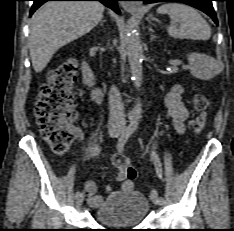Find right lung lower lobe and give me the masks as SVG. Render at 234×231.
Returning <instances> with one entry per match:
<instances>
[{"mask_svg":"<svg viewBox=\"0 0 234 231\" xmlns=\"http://www.w3.org/2000/svg\"><path fill=\"white\" fill-rule=\"evenodd\" d=\"M33 1H34V4L32 5L31 11H30V16L34 13V11L37 8H39L43 3L47 2V1H100L105 6L111 8L116 13L120 14V11L117 7V1H119V0H33Z\"/></svg>","mask_w":234,"mask_h":231,"instance_id":"obj_1","label":"right lung lower lobe"}]
</instances>
